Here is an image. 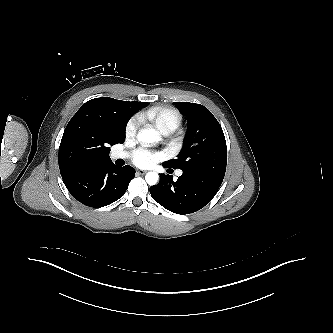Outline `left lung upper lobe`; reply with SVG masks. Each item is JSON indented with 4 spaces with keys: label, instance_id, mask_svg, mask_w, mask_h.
<instances>
[{
    "label": "left lung upper lobe",
    "instance_id": "left-lung-upper-lobe-1",
    "mask_svg": "<svg viewBox=\"0 0 333 333\" xmlns=\"http://www.w3.org/2000/svg\"><path fill=\"white\" fill-rule=\"evenodd\" d=\"M189 121L184 146L176 159L163 163L168 168L185 172L211 171L225 174L227 146L221 125L203 105L174 102Z\"/></svg>",
    "mask_w": 333,
    "mask_h": 333
}]
</instances>
